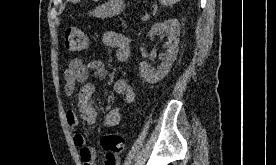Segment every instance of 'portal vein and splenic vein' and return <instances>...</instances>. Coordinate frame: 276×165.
Returning <instances> with one entry per match:
<instances>
[{
    "label": "portal vein and splenic vein",
    "instance_id": "portal-vein-and-splenic-vein-1",
    "mask_svg": "<svg viewBox=\"0 0 276 165\" xmlns=\"http://www.w3.org/2000/svg\"><path fill=\"white\" fill-rule=\"evenodd\" d=\"M150 18V14L145 13V15L141 18L142 20H148Z\"/></svg>",
    "mask_w": 276,
    "mask_h": 165
}]
</instances>
